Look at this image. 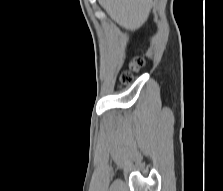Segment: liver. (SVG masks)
Listing matches in <instances>:
<instances>
[{"label":"liver","mask_w":223,"mask_h":191,"mask_svg":"<svg viewBox=\"0 0 223 191\" xmlns=\"http://www.w3.org/2000/svg\"><path fill=\"white\" fill-rule=\"evenodd\" d=\"M99 4L116 23L133 30L147 20L152 0H99Z\"/></svg>","instance_id":"liver-1"}]
</instances>
